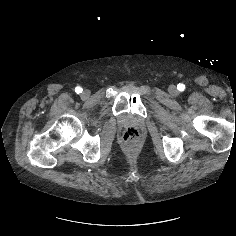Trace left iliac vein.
I'll return each mask as SVG.
<instances>
[{"mask_svg":"<svg viewBox=\"0 0 236 236\" xmlns=\"http://www.w3.org/2000/svg\"><path fill=\"white\" fill-rule=\"evenodd\" d=\"M168 91H169V93L171 94V95H173V96H176V95H178V89L176 88V86H174V85H171V86H169V89H168Z\"/></svg>","mask_w":236,"mask_h":236,"instance_id":"obj_1","label":"left iliac vein"}]
</instances>
